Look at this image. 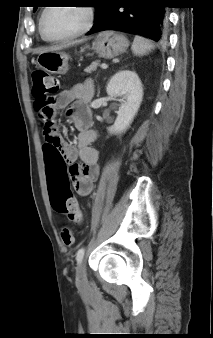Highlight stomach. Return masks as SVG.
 <instances>
[{"mask_svg":"<svg viewBox=\"0 0 213 338\" xmlns=\"http://www.w3.org/2000/svg\"><path fill=\"white\" fill-rule=\"evenodd\" d=\"M128 46V39L114 31L99 33L92 43L94 52L105 59L123 54ZM36 62L42 69L52 74H65L68 71V55L61 51L42 52Z\"/></svg>","mask_w":213,"mask_h":338,"instance_id":"1","label":"stomach"}]
</instances>
